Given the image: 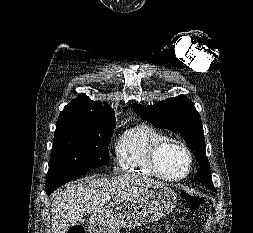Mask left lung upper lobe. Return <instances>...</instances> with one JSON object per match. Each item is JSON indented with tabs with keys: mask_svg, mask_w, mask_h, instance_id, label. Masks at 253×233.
I'll list each match as a JSON object with an SVG mask.
<instances>
[{
	"mask_svg": "<svg viewBox=\"0 0 253 233\" xmlns=\"http://www.w3.org/2000/svg\"><path fill=\"white\" fill-rule=\"evenodd\" d=\"M133 109L142 119L154 126L179 133L195 151V158L200 166L194 179L208 188H214L205 151L201 118L187 96L179 95L147 107L135 103Z\"/></svg>",
	"mask_w": 253,
	"mask_h": 233,
	"instance_id": "left-lung-upper-lobe-1",
	"label": "left lung upper lobe"
}]
</instances>
